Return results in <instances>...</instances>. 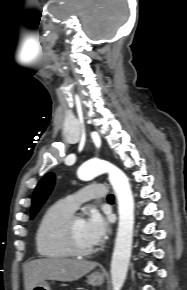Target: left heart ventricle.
<instances>
[{
    "label": "left heart ventricle",
    "mask_w": 187,
    "mask_h": 290,
    "mask_svg": "<svg viewBox=\"0 0 187 290\" xmlns=\"http://www.w3.org/2000/svg\"><path fill=\"white\" fill-rule=\"evenodd\" d=\"M74 233L78 244L83 248L94 247L95 244L91 241L88 236L85 220L83 218H78L74 222Z\"/></svg>",
    "instance_id": "left-heart-ventricle-1"
}]
</instances>
